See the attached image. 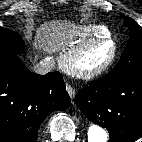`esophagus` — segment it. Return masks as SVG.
<instances>
[{"instance_id":"obj_1","label":"esophagus","mask_w":142,"mask_h":142,"mask_svg":"<svg viewBox=\"0 0 142 142\" xmlns=\"http://www.w3.org/2000/svg\"><path fill=\"white\" fill-rule=\"evenodd\" d=\"M66 90H67L69 96L71 98H74V96H75V89L70 84H66Z\"/></svg>"}]
</instances>
